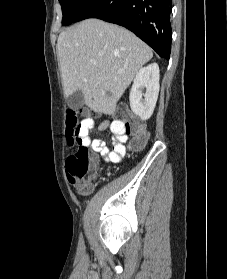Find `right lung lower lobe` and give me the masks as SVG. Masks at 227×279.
Masks as SVG:
<instances>
[{"instance_id":"98d812e1","label":"right lung lower lobe","mask_w":227,"mask_h":279,"mask_svg":"<svg viewBox=\"0 0 227 279\" xmlns=\"http://www.w3.org/2000/svg\"><path fill=\"white\" fill-rule=\"evenodd\" d=\"M172 0H87L73 22L98 18L126 27L169 59L172 28Z\"/></svg>"}]
</instances>
